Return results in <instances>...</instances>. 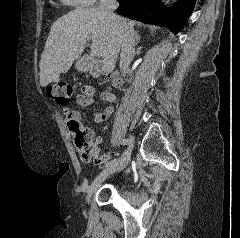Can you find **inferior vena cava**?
Here are the masks:
<instances>
[{"mask_svg":"<svg viewBox=\"0 0 240 238\" xmlns=\"http://www.w3.org/2000/svg\"><path fill=\"white\" fill-rule=\"evenodd\" d=\"M117 8V0H100L98 10L113 24L117 25L121 29V53L119 67L122 71H125L134 56L135 51V33L131 25H128L126 21L114 14V10Z\"/></svg>","mask_w":240,"mask_h":238,"instance_id":"inferior-vena-cava-1","label":"inferior vena cava"}]
</instances>
